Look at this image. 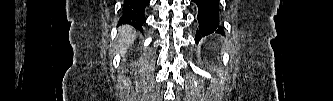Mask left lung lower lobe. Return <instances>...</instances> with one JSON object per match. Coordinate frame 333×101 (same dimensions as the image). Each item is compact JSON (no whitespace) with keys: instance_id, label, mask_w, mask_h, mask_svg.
Segmentation results:
<instances>
[{"instance_id":"left-lung-lower-lobe-1","label":"left lung lower lobe","mask_w":333,"mask_h":101,"mask_svg":"<svg viewBox=\"0 0 333 101\" xmlns=\"http://www.w3.org/2000/svg\"><path fill=\"white\" fill-rule=\"evenodd\" d=\"M198 6L199 29L196 31L195 41L199 42L201 37L216 31L223 34V29L219 26L218 12L219 0H192Z\"/></svg>"}]
</instances>
